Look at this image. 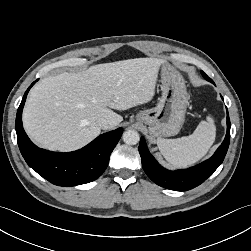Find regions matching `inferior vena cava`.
Returning a JSON list of instances; mask_svg holds the SVG:
<instances>
[{
    "label": "inferior vena cava",
    "mask_w": 251,
    "mask_h": 251,
    "mask_svg": "<svg viewBox=\"0 0 251 251\" xmlns=\"http://www.w3.org/2000/svg\"><path fill=\"white\" fill-rule=\"evenodd\" d=\"M97 124L103 130L111 129L114 127V123L112 121L103 117L97 120Z\"/></svg>",
    "instance_id": "1"
}]
</instances>
